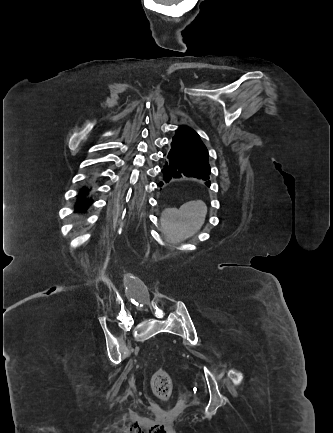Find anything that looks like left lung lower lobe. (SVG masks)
I'll return each mask as SVG.
<instances>
[{
  "instance_id": "0a47b994",
  "label": "left lung lower lobe",
  "mask_w": 333,
  "mask_h": 433,
  "mask_svg": "<svg viewBox=\"0 0 333 433\" xmlns=\"http://www.w3.org/2000/svg\"><path fill=\"white\" fill-rule=\"evenodd\" d=\"M164 157L165 163L162 168L163 181L158 186L183 177L209 179L211 170L208 159L200 156L176 140H172L169 143V148Z\"/></svg>"
}]
</instances>
